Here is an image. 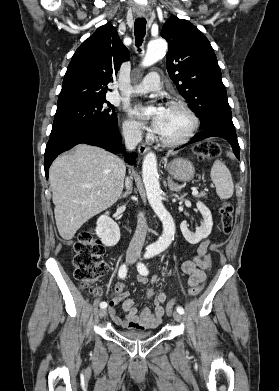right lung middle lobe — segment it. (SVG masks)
Masks as SVG:
<instances>
[{
	"label": "right lung middle lobe",
	"mask_w": 279,
	"mask_h": 391,
	"mask_svg": "<svg viewBox=\"0 0 279 391\" xmlns=\"http://www.w3.org/2000/svg\"><path fill=\"white\" fill-rule=\"evenodd\" d=\"M116 118L114 106L106 99L86 101L57 109L52 130L98 124Z\"/></svg>",
	"instance_id": "dd1d6c3e"
}]
</instances>
